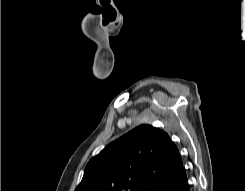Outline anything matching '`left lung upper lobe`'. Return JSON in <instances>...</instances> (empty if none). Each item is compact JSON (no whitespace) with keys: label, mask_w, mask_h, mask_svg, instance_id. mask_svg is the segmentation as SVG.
<instances>
[{"label":"left lung upper lobe","mask_w":245,"mask_h":191,"mask_svg":"<svg viewBox=\"0 0 245 191\" xmlns=\"http://www.w3.org/2000/svg\"><path fill=\"white\" fill-rule=\"evenodd\" d=\"M179 158L165 131L142 124L94 156L75 191H154Z\"/></svg>","instance_id":"5c2ea615"}]
</instances>
